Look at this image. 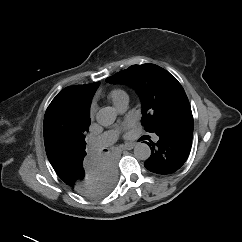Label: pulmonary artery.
<instances>
[{
	"instance_id": "e3ab8cb5",
	"label": "pulmonary artery",
	"mask_w": 242,
	"mask_h": 242,
	"mask_svg": "<svg viewBox=\"0 0 242 242\" xmlns=\"http://www.w3.org/2000/svg\"><path fill=\"white\" fill-rule=\"evenodd\" d=\"M116 108L119 112H124L127 109L128 106V98H122L116 105ZM117 140V132L115 131H107L100 136H98L92 143L91 147L93 149H102L105 147L110 146ZM154 140L157 141L158 137L155 136Z\"/></svg>"
}]
</instances>
